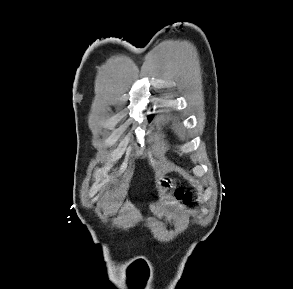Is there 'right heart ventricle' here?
Returning <instances> with one entry per match:
<instances>
[{
	"label": "right heart ventricle",
	"mask_w": 293,
	"mask_h": 289,
	"mask_svg": "<svg viewBox=\"0 0 293 289\" xmlns=\"http://www.w3.org/2000/svg\"><path fill=\"white\" fill-rule=\"evenodd\" d=\"M173 130H174V132H175L179 137H183V136H184V132H183V130L179 127L178 124H173Z\"/></svg>",
	"instance_id": "right-heart-ventricle-1"
}]
</instances>
